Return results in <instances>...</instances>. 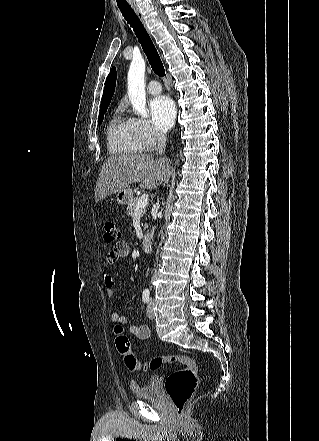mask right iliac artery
Listing matches in <instances>:
<instances>
[{
	"instance_id": "82829eb1",
	"label": "right iliac artery",
	"mask_w": 319,
	"mask_h": 441,
	"mask_svg": "<svg viewBox=\"0 0 319 441\" xmlns=\"http://www.w3.org/2000/svg\"><path fill=\"white\" fill-rule=\"evenodd\" d=\"M142 299L145 303L149 302L150 299V292L149 290H144L142 294Z\"/></svg>"
}]
</instances>
